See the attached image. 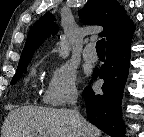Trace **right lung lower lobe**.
I'll return each instance as SVG.
<instances>
[{"instance_id":"98d812e1","label":"right lung lower lobe","mask_w":144,"mask_h":137,"mask_svg":"<svg viewBox=\"0 0 144 137\" xmlns=\"http://www.w3.org/2000/svg\"><path fill=\"white\" fill-rule=\"evenodd\" d=\"M130 41L107 49L105 64L94 73L95 78L104 79L102 92L96 94L90 86L83 92L90 122L112 137H124L120 106L129 71Z\"/></svg>"}]
</instances>
